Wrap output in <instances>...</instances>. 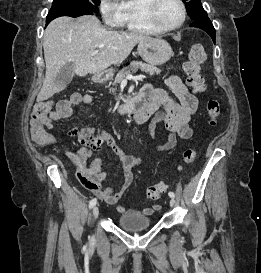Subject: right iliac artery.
Instances as JSON below:
<instances>
[{
  "label": "right iliac artery",
  "mask_w": 261,
  "mask_h": 273,
  "mask_svg": "<svg viewBox=\"0 0 261 273\" xmlns=\"http://www.w3.org/2000/svg\"><path fill=\"white\" fill-rule=\"evenodd\" d=\"M97 203V199L93 198L89 203V208H92Z\"/></svg>",
  "instance_id": "1"
}]
</instances>
